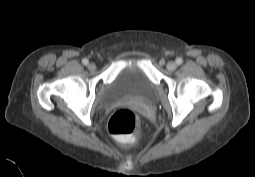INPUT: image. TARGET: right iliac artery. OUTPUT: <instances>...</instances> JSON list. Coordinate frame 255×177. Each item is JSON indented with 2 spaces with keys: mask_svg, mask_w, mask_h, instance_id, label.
Returning a JSON list of instances; mask_svg holds the SVG:
<instances>
[{
  "mask_svg": "<svg viewBox=\"0 0 255 177\" xmlns=\"http://www.w3.org/2000/svg\"><path fill=\"white\" fill-rule=\"evenodd\" d=\"M82 63H83L84 65H88L89 61H88V59L85 58V59L82 60Z\"/></svg>",
  "mask_w": 255,
  "mask_h": 177,
  "instance_id": "82829eb1",
  "label": "right iliac artery"
}]
</instances>
